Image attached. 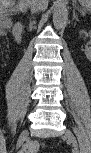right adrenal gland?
<instances>
[{"instance_id":"right-adrenal-gland-1","label":"right adrenal gland","mask_w":91,"mask_h":153,"mask_svg":"<svg viewBox=\"0 0 91 153\" xmlns=\"http://www.w3.org/2000/svg\"><path fill=\"white\" fill-rule=\"evenodd\" d=\"M31 13L33 14V13H35V11H34V9L31 7Z\"/></svg>"}]
</instances>
